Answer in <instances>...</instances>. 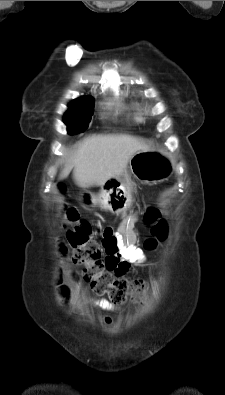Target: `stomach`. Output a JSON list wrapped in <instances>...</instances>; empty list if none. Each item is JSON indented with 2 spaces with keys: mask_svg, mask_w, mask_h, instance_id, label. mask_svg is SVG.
<instances>
[{
  "mask_svg": "<svg viewBox=\"0 0 225 395\" xmlns=\"http://www.w3.org/2000/svg\"><path fill=\"white\" fill-rule=\"evenodd\" d=\"M171 164L166 156L155 151H139L129 160L128 171L124 178H112L101 186L98 198L90 196L87 192L81 194V201L98 203L102 208L112 213H121L131 204L130 177L142 183L150 184L166 180L171 174Z\"/></svg>",
  "mask_w": 225,
  "mask_h": 395,
  "instance_id": "obj_1",
  "label": "stomach"
}]
</instances>
